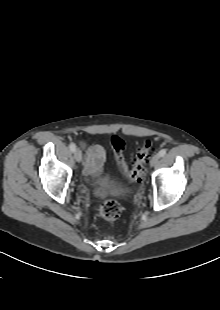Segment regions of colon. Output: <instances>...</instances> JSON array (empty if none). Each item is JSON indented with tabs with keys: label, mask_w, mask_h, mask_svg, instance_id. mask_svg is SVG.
<instances>
[{
	"label": "colon",
	"mask_w": 220,
	"mask_h": 310,
	"mask_svg": "<svg viewBox=\"0 0 220 310\" xmlns=\"http://www.w3.org/2000/svg\"><path fill=\"white\" fill-rule=\"evenodd\" d=\"M111 145L115 152L117 165L125 178L130 182H140L144 175L145 160L152 149L151 142L149 140H146L142 143V145L136 152L131 168L127 166L125 161L124 141L119 137H113L111 139ZM121 212L122 209L120 204L112 199L104 201L98 209L99 217L105 220H116L121 216Z\"/></svg>",
	"instance_id": "obj_1"
}]
</instances>
